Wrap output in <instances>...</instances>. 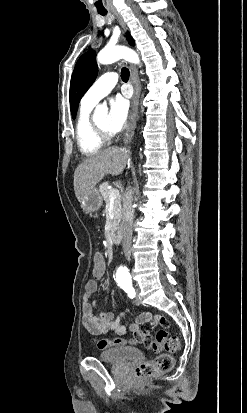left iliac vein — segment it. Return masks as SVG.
<instances>
[{
  "label": "left iliac vein",
  "mask_w": 247,
  "mask_h": 413,
  "mask_svg": "<svg viewBox=\"0 0 247 413\" xmlns=\"http://www.w3.org/2000/svg\"><path fill=\"white\" fill-rule=\"evenodd\" d=\"M133 302H134L135 305H140V303H141L139 297H136Z\"/></svg>",
  "instance_id": "obj_1"
}]
</instances>
